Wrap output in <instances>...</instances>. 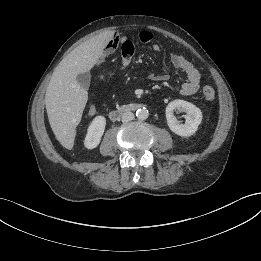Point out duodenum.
<instances>
[{
  "mask_svg": "<svg viewBox=\"0 0 261 261\" xmlns=\"http://www.w3.org/2000/svg\"><path fill=\"white\" fill-rule=\"evenodd\" d=\"M142 105L141 104H136V103H131V104H127V105H123L118 109H115L113 111H111L110 113V117L113 120H117L119 119L123 114L130 112V111H135L139 108H141Z\"/></svg>",
  "mask_w": 261,
  "mask_h": 261,
  "instance_id": "410a0bca",
  "label": "duodenum"
}]
</instances>
